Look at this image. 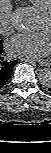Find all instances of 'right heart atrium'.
Listing matches in <instances>:
<instances>
[{
    "instance_id": "right-heart-atrium-1",
    "label": "right heart atrium",
    "mask_w": 51,
    "mask_h": 153,
    "mask_svg": "<svg viewBox=\"0 0 51 153\" xmlns=\"http://www.w3.org/2000/svg\"><path fill=\"white\" fill-rule=\"evenodd\" d=\"M13 13L8 0H2L0 3V33L9 35L13 32Z\"/></svg>"
}]
</instances>
